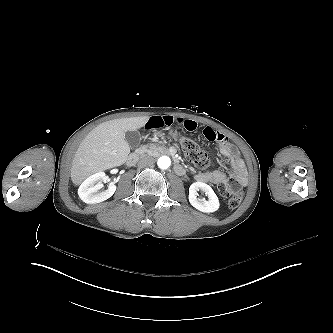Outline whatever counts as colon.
Segmentation results:
<instances>
[{"label": "colon", "mask_w": 333, "mask_h": 333, "mask_svg": "<svg viewBox=\"0 0 333 333\" xmlns=\"http://www.w3.org/2000/svg\"><path fill=\"white\" fill-rule=\"evenodd\" d=\"M180 146L187 158L197 167L201 169H206L208 167L210 161L209 157L195 140L189 138L181 139ZM232 181L234 184L239 185L242 183L243 178L241 175L236 174L233 176ZM219 192L220 195L227 200V204L230 208L238 207L243 199L242 190L238 186L230 183L221 184L219 186Z\"/></svg>", "instance_id": "colon-1"}]
</instances>
